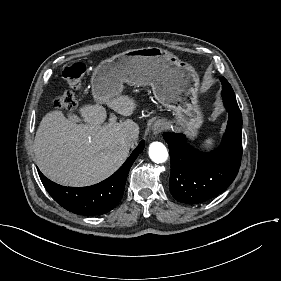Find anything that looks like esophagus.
Segmentation results:
<instances>
[{"instance_id":"esophagus-1","label":"esophagus","mask_w":281,"mask_h":281,"mask_svg":"<svg viewBox=\"0 0 281 281\" xmlns=\"http://www.w3.org/2000/svg\"><path fill=\"white\" fill-rule=\"evenodd\" d=\"M163 130V125L160 122L154 123L152 127V132L154 136H158L159 133Z\"/></svg>"}]
</instances>
